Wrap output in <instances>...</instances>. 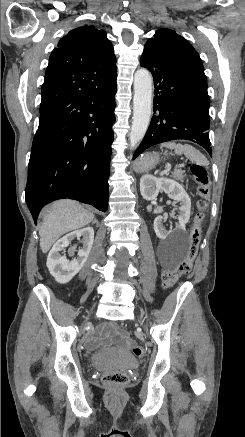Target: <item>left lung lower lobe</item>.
I'll return each mask as SVG.
<instances>
[{"instance_id":"obj_1","label":"left lung lower lobe","mask_w":245,"mask_h":437,"mask_svg":"<svg viewBox=\"0 0 245 437\" xmlns=\"http://www.w3.org/2000/svg\"><path fill=\"white\" fill-rule=\"evenodd\" d=\"M140 63L154 78V114L133 159L151 146L175 139L193 141L212 155L207 79L146 50Z\"/></svg>"}]
</instances>
